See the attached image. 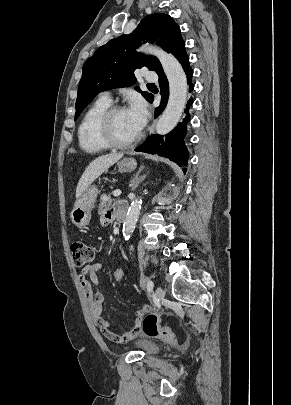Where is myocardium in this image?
Returning a JSON list of instances; mask_svg holds the SVG:
<instances>
[{"label":"myocardium","mask_w":291,"mask_h":405,"mask_svg":"<svg viewBox=\"0 0 291 405\" xmlns=\"http://www.w3.org/2000/svg\"><path fill=\"white\" fill-rule=\"evenodd\" d=\"M126 110V107L123 105H114L109 107L102 115L99 121L98 131L102 141L110 148L116 149H127L133 147L141 138V133L139 132L132 140L130 141H119L116 139L113 133V118L114 116Z\"/></svg>","instance_id":"obj_1"}]
</instances>
